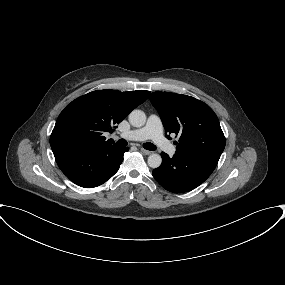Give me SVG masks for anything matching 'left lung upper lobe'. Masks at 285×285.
<instances>
[{"label":"left lung upper lobe","instance_id":"1","mask_svg":"<svg viewBox=\"0 0 285 285\" xmlns=\"http://www.w3.org/2000/svg\"><path fill=\"white\" fill-rule=\"evenodd\" d=\"M149 99L166 133L180 136L175 142L177 154L217 165L225 148V137L216 114L207 104L170 92H153Z\"/></svg>","mask_w":285,"mask_h":285}]
</instances>
